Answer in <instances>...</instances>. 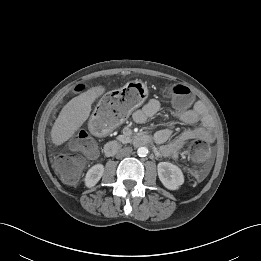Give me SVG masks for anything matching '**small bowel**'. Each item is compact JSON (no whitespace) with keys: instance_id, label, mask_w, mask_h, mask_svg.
<instances>
[{"instance_id":"obj_1","label":"small bowel","mask_w":261,"mask_h":261,"mask_svg":"<svg viewBox=\"0 0 261 261\" xmlns=\"http://www.w3.org/2000/svg\"><path fill=\"white\" fill-rule=\"evenodd\" d=\"M160 109V102L157 99H151L143 108L133 114V120L136 123L143 124L149 118L155 116ZM204 105L196 102L191 109L177 112V117L192 127L185 129L173 140L170 128H164L154 135L155 142L159 145V151L164 157L177 158L182 148L191 140H204L212 142L215 139L213 121L210 117L204 115ZM199 123V124H198Z\"/></svg>"}]
</instances>
